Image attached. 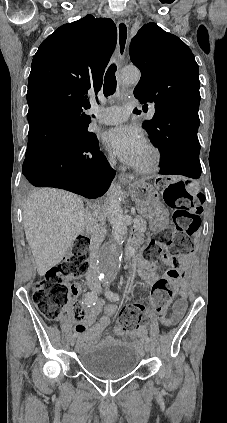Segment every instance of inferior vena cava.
I'll use <instances>...</instances> for the list:
<instances>
[{
	"instance_id": "obj_1",
	"label": "inferior vena cava",
	"mask_w": 227,
	"mask_h": 423,
	"mask_svg": "<svg viewBox=\"0 0 227 423\" xmlns=\"http://www.w3.org/2000/svg\"><path fill=\"white\" fill-rule=\"evenodd\" d=\"M109 164L114 166L116 164L115 156H110ZM96 221H100V223H96ZM86 223L87 225H91L90 229V261L89 267L87 271V279L91 281V283H95V281H99L98 279V249L105 237L106 229H105V221L104 217L101 215H93L91 211H86Z\"/></svg>"
}]
</instances>
